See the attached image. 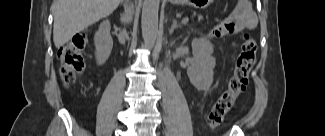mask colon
I'll return each instance as SVG.
<instances>
[{"instance_id": "1", "label": "colon", "mask_w": 325, "mask_h": 136, "mask_svg": "<svg viewBox=\"0 0 325 136\" xmlns=\"http://www.w3.org/2000/svg\"><path fill=\"white\" fill-rule=\"evenodd\" d=\"M88 45L85 35H77L66 43L58 53L60 75L64 85L74 83L84 71V53ZM257 44L248 34L243 35L241 50L228 88L212 106L207 123L210 128L219 126L233 107L238 96L247 87L249 74L256 62Z\"/></svg>"}]
</instances>
